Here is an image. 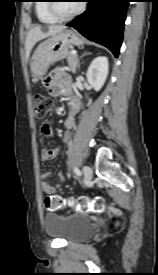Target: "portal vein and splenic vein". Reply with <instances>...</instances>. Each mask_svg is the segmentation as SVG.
Returning <instances> with one entry per match:
<instances>
[{
  "instance_id": "portal-vein-and-splenic-vein-1",
  "label": "portal vein and splenic vein",
  "mask_w": 158,
  "mask_h": 275,
  "mask_svg": "<svg viewBox=\"0 0 158 275\" xmlns=\"http://www.w3.org/2000/svg\"><path fill=\"white\" fill-rule=\"evenodd\" d=\"M71 53H72L73 55H77V51H75V50H73Z\"/></svg>"
}]
</instances>
